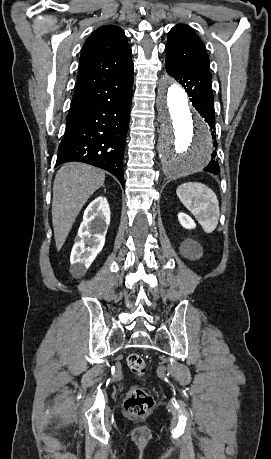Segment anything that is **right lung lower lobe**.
Listing matches in <instances>:
<instances>
[{
  "label": "right lung lower lobe",
  "instance_id": "right-lung-lower-lobe-1",
  "mask_svg": "<svg viewBox=\"0 0 271 459\" xmlns=\"http://www.w3.org/2000/svg\"><path fill=\"white\" fill-rule=\"evenodd\" d=\"M133 73L72 100L56 166L79 161L105 169L124 186L123 154L132 103Z\"/></svg>",
  "mask_w": 271,
  "mask_h": 459
}]
</instances>
